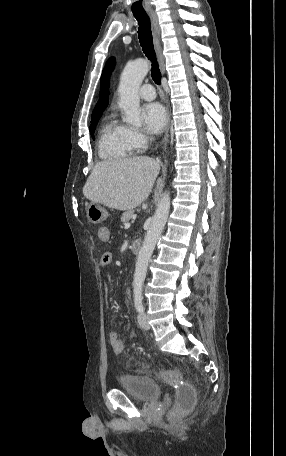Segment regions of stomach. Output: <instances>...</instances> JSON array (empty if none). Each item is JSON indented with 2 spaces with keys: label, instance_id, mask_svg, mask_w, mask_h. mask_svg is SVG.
<instances>
[{
  "label": "stomach",
  "instance_id": "0dacf381",
  "mask_svg": "<svg viewBox=\"0 0 286 456\" xmlns=\"http://www.w3.org/2000/svg\"><path fill=\"white\" fill-rule=\"evenodd\" d=\"M86 215L91 223L98 224L108 217V212L98 203H91L87 207Z\"/></svg>",
  "mask_w": 286,
  "mask_h": 456
}]
</instances>
